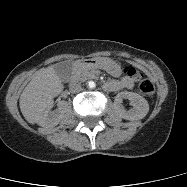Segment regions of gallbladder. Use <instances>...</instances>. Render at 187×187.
I'll return each instance as SVG.
<instances>
[{
	"label": "gallbladder",
	"mask_w": 187,
	"mask_h": 187,
	"mask_svg": "<svg viewBox=\"0 0 187 187\" xmlns=\"http://www.w3.org/2000/svg\"><path fill=\"white\" fill-rule=\"evenodd\" d=\"M73 63L71 61H64L57 63L54 69L61 80H66L71 73Z\"/></svg>",
	"instance_id": "bac80fb5"
}]
</instances>
